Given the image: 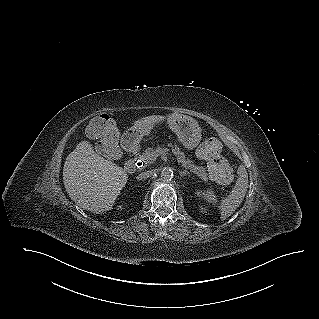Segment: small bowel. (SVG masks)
Masks as SVG:
<instances>
[{
  "instance_id": "obj_1",
  "label": "small bowel",
  "mask_w": 319,
  "mask_h": 319,
  "mask_svg": "<svg viewBox=\"0 0 319 319\" xmlns=\"http://www.w3.org/2000/svg\"><path fill=\"white\" fill-rule=\"evenodd\" d=\"M198 155H199L200 158L204 159L203 156H202V154H201V152H200V149H199V151H198Z\"/></svg>"
}]
</instances>
